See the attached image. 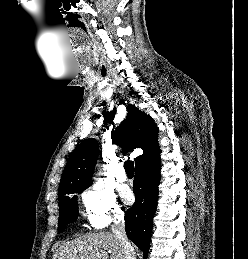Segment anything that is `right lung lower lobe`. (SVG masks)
I'll return each instance as SVG.
<instances>
[{
  "mask_svg": "<svg viewBox=\"0 0 248 259\" xmlns=\"http://www.w3.org/2000/svg\"><path fill=\"white\" fill-rule=\"evenodd\" d=\"M159 153L140 159L135 165L133 192L136 200L125 212V230L147 258L160 180Z\"/></svg>",
  "mask_w": 248,
  "mask_h": 259,
  "instance_id": "1",
  "label": "right lung lower lobe"
}]
</instances>
